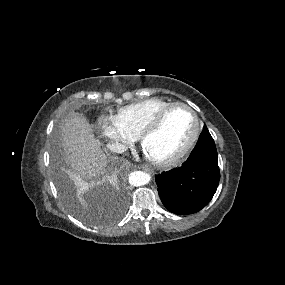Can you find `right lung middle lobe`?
I'll return each mask as SVG.
<instances>
[{"label":"right lung middle lobe","instance_id":"dd1d6c3e","mask_svg":"<svg viewBox=\"0 0 285 285\" xmlns=\"http://www.w3.org/2000/svg\"><path fill=\"white\" fill-rule=\"evenodd\" d=\"M60 188H61V191H62V194L63 196L65 197V199L67 201H69V204H71V200H70V196H69V192H68V189L65 185H63L62 183L60 184ZM76 213L82 217L83 219H85L87 222L89 223H92V224H100L101 222L99 220H97L96 218L92 217V216H87V215H84L82 212L80 211H76Z\"/></svg>","mask_w":285,"mask_h":285}]
</instances>
